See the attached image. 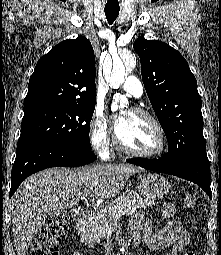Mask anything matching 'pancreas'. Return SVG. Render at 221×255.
<instances>
[{"instance_id": "pancreas-1", "label": "pancreas", "mask_w": 221, "mask_h": 255, "mask_svg": "<svg viewBox=\"0 0 221 255\" xmlns=\"http://www.w3.org/2000/svg\"><path fill=\"white\" fill-rule=\"evenodd\" d=\"M153 204L154 202L144 199L139 193L127 190L112 204L103 208L102 211L94 214L85 222L88 232L85 239L93 244L106 237L121 217L116 216L119 210H125V214L129 216L136 213L137 210L150 207Z\"/></svg>"}]
</instances>
